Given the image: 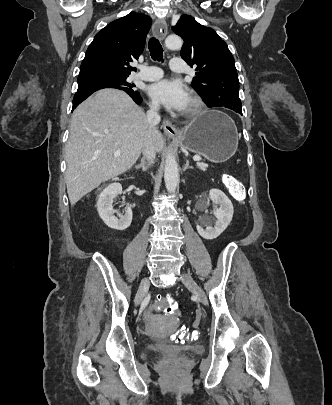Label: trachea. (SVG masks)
<instances>
[{
	"mask_svg": "<svg viewBox=\"0 0 332 405\" xmlns=\"http://www.w3.org/2000/svg\"><path fill=\"white\" fill-rule=\"evenodd\" d=\"M148 48L150 56L153 60L162 61L163 60V48L160 42L156 38H151L148 43Z\"/></svg>",
	"mask_w": 332,
	"mask_h": 405,
	"instance_id": "obj_1",
	"label": "trachea"
}]
</instances>
